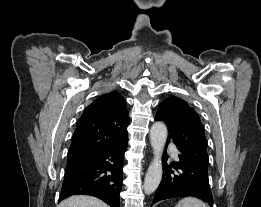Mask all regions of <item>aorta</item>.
Returning <instances> with one entry per match:
<instances>
[{
	"instance_id": "obj_1",
	"label": "aorta",
	"mask_w": 261,
	"mask_h": 207,
	"mask_svg": "<svg viewBox=\"0 0 261 207\" xmlns=\"http://www.w3.org/2000/svg\"><path fill=\"white\" fill-rule=\"evenodd\" d=\"M167 139V128L164 123L156 122L150 130V142L153 148L154 158L148 167L144 179L143 189L146 194L153 193L162 179L161 156Z\"/></svg>"
}]
</instances>
